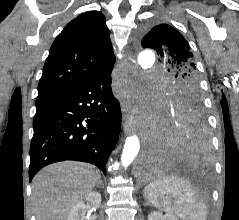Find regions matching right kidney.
I'll return each mask as SVG.
<instances>
[{
	"label": "right kidney",
	"instance_id": "obj_1",
	"mask_svg": "<svg viewBox=\"0 0 239 220\" xmlns=\"http://www.w3.org/2000/svg\"><path fill=\"white\" fill-rule=\"evenodd\" d=\"M85 200L90 202L93 206H99L101 203V195L98 192H90L86 195ZM86 214V206L83 201L74 206L66 220H84Z\"/></svg>",
	"mask_w": 239,
	"mask_h": 220
}]
</instances>
